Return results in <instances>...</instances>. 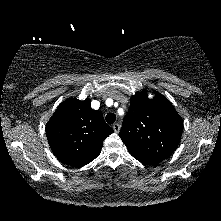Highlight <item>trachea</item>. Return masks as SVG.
<instances>
[{
	"instance_id": "3493384b",
	"label": "trachea",
	"mask_w": 221,
	"mask_h": 221,
	"mask_svg": "<svg viewBox=\"0 0 221 221\" xmlns=\"http://www.w3.org/2000/svg\"><path fill=\"white\" fill-rule=\"evenodd\" d=\"M115 120H116L115 114H113V113H108V114L106 115V122H107L108 124H113V123L115 122Z\"/></svg>"
}]
</instances>
